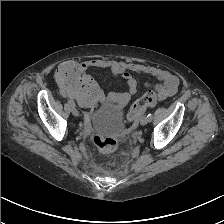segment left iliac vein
Returning <instances> with one entry per match:
<instances>
[{
  "label": "left iliac vein",
  "instance_id": "1",
  "mask_svg": "<svg viewBox=\"0 0 224 224\" xmlns=\"http://www.w3.org/2000/svg\"><path fill=\"white\" fill-rule=\"evenodd\" d=\"M148 122H149V118L147 116H143L140 119V124L143 125V126L146 125Z\"/></svg>",
  "mask_w": 224,
  "mask_h": 224
}]
</instances>
